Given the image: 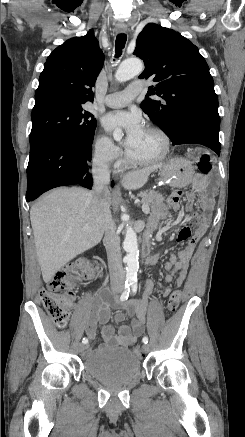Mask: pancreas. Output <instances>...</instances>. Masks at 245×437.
Returning a JSON list of instances; mask_svg holds the SVG:
<instances>
[{
  "label": "pancreas",
  "instance_id": "1",
  "mask_svg": "<svg viewBox=\"0 0 245 437\" xmlns=\"http://www.w3.org/2000/svg\"><path fill=\"white\" fill-rule=\"evenodd\" d=\"M141 198L140 203L142 205H147L151 209H154L156 206L162 203L163 196L154 190H146L142 191L138 195Z\"/></svg>",
  "mask_w": 245,
  "mask_h": 437
}]
</instances>
